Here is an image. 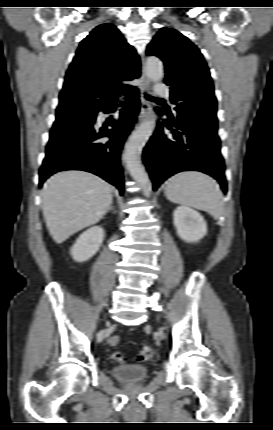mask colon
Listing matches in <instances>:
<instances>
[{
  "label": "colon",
  "instance_id": "obj_1",
  "mask_svg": "<svg viewBox=\"0 0 273 430\" xmlns=\"http://www.w3.org/2000/svg\"><path fill=\"white\" fill-rule=\"evenodd\" d=\"M121 338L118 335L112 336L109 339V344L112 346L117 345L120 342ZM154 355V349L151 346H145L143 347L137 354L136 359L139 361H148L150 360ZM112 358L115 361H122L123 360V355L121 352L116 351L112 354Z\"/></svg>",
  "mask_w": 273,
  "mask_h": 430
}]
</instances>
